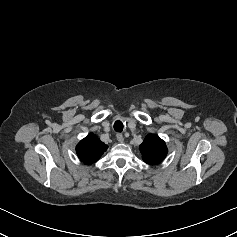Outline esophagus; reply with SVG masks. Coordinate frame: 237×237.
<instances>
[{
  "label": "esophagus",
  "instance_id": "obj_1",
  "mask_svg": "<svg viewBox=\"0 0 237 237\" xmlns=\"http://www.w3.org/2000/svg\"><path fill=\"white\" fill-rule=\"evenodd\" d=\"M116 138H117L118 142H120V143L124 142V137L121 133H118L116 135Z\"/></svg>",
  "mask_w": 237,
  "mask_h": 237
}]
</instances>
